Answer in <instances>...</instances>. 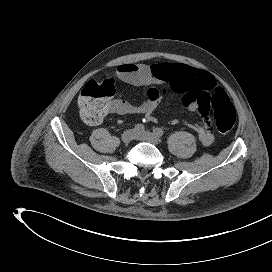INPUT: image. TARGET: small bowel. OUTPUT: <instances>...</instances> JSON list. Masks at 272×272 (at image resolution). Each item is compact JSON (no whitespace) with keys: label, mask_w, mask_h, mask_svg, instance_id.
<instances>
[{"label":"small bowel","mask_w":272,"mask_h":272,"mask_svg":"<svg viewBox=\"0 0 272 272\" xmlns=\"http://www.w3.org/2000/svg\"><path fill=\"white\" fill-rule=\"evenodd\" d=\"M116 74L125 83L144 87L145 94L152 88V84H168L173 91L181 93L184 106L191 112L199 113L197 117L199 123L187 125L196 132L202 145L209 146L213 142L214 135L210 127L214 120L208 114V99L210 93L220 87L210 72L180 63H160L151 66L124 63L117 67ZM160 100L161 97L154 99L145 96L143 102L136 105L117 99L113 101L109 113L138 114L147 121L155 122L157 118L154 113ZM179 123L186 122L178 119L170 121L172 125Z\"/></svg>","instance_id":"1"}]
</instances>
